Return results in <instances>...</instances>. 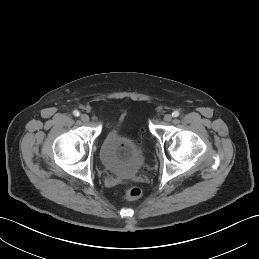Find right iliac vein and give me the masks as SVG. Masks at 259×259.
<instances>
[{
  "instance_id": "1",
  "label": "right iliac vein",
  "mask_w": 259,
  "mask_h": 259,
  "mask_svg": "<svg viewBox=\"0 0 259 259\" xmlns=\"http://www.w3.org/2000/svg\"><path fill=\"white\" fill-rule=\"evenodd\" d=\"M80 119L83 121V122H88L89 121V116L87 114H82L80 116Z\"/></svg>"
}]
</instances>
